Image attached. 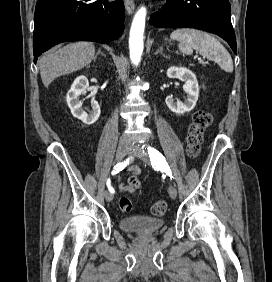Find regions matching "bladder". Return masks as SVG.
Masks as SVG:
<instances>
[{
    "label": "bladder",
    "instance_id": "1",
    "mask_svg": "<svg viewBox=\"0 0 272 282\" xmlns=\"http://www.w3.org/2000/svg\"><path fill=\"white\" fill-rule=\"evenodd\" d=\"M119 226L128 232L136 234H153L164 226L160 218L146 216H130L119 219Z\"/></svg>",
    "mask_w": 272,
    "mask_h": 282
}]
</instances>
